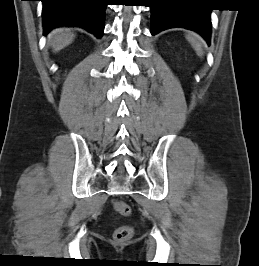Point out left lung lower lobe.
<instances>
[{
    "instance_id": "left-lung-lower-lobe-1",
    "label": "left lung lower lobe",
    "mask_w": 259,
    "mask_h": 266,
    "mask_svg": "<svg viewBox=\"0 0 259 266\" xmlns=\"http://www.w3.org/2000/svg\"><path fill=\"white\" fill-rule=\"evenodd\" d=\"M152 8L151 34L172 27H183L201 34L210 44L211 10L192 0H150Z\"/></svg>"
}]
</instances>
